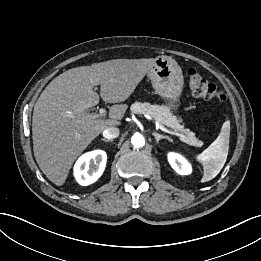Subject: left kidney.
<instances>
[{"instance_id": "left-kidney-1", "label": "left kidney", "mask_w": 261, "mask_h": 261, "mask_svg": "<svg viewBox=\"0 0 261 261\" xmlns=\"http://www.w3.org/2000/svg\"><path fill=\"white\" fill-rule=\"evenodd\" d=\"M168 161L171 167L180 175H189L192 172V167L189 162L177 153L170 152Z\"/></svg>"}]
</instances>
